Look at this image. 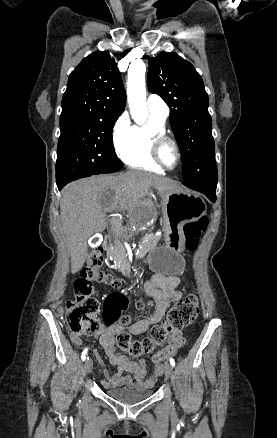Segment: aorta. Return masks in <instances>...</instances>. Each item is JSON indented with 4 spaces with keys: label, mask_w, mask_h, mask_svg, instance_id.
Listing matches in <instances>:
<instances>
[{
    "label": "aorta",
    "mask_w": 277,
    "mask_h": 438,
    "mask_svg": "<svg viewBox=\"0 0 277 438\" xmlns=\"http://www.w3.org/2000/svg\"><path fill=\"white\" fill-rule=\"evenodd\" d=\"M146 66L142 60H134L128 69L127 97L130 113L138 125L144 124L148 116L145 87ZM153 219L150 206L139 208L134 215V230L145 229Z\"/></svg>",
    "instance_id": "762f6f07"
}]
</instances>
